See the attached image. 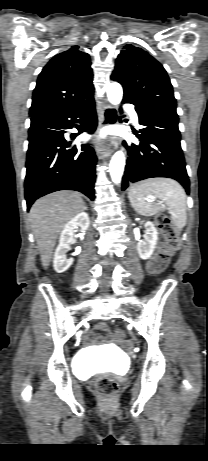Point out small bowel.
Here are the masks:
<instances>
[{
	"label": "small bowel",
	"instance_id": "small-bowel-1",
	"mask_svg": "<svg viewBox=\"0 0 208 461\" xmlns=\"http://www.w3.org/2000/svg\"><path fill=\"white\" fill-rule=\"evenodd\" d=\"M149 271L150 272H156L155 270H153L151 267H150V263H149ZM97 330L98 331H101V332H106L108 330V327L105 323H100L97 325Z\"/></svg>",
	"mask_w": 208,
	"mask_h": 461
}]
</instances>
